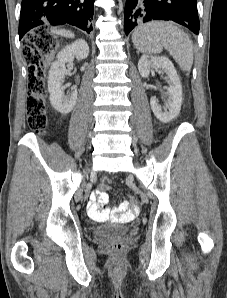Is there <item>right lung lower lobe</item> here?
Instances as JSON below:
<instances>
[{"instance_id": "98d812e1", "label": "right lung lower lobe", "mask_w": 227, "mask_h": 298, "mask_svg": "<svg viewBox=\"0 0 227 298\" xmlns=\"http://www.w3.org/2000/svg\"><path fill=\"white\" fill-rule=\"evenodd\" d=\"M93 0H22L19 38L35 27L70 24L92 30Z\"/></svg>"}]
</instances>
